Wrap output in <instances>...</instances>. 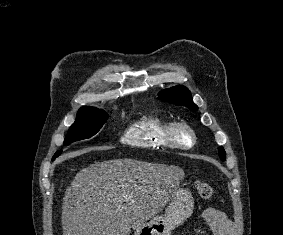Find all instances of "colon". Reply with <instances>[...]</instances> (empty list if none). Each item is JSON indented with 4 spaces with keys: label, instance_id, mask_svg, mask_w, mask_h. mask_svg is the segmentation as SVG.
<instances>
[{
    "label": "colon",
    "instance_id": "colon-1",
    "mask_svg": "<svg viewBox=\"0 0 283 235\" xmlns=\"http://www.w3.org/2000/svg\"><path fill=\"white\" fill-rule=\"evenodd\" d=\"M196 189H197L198 195L202 199H205V200L210 199L213 195L212 186L203 180H198L196 182Z\"/></svg>",
    "mask_w": 283,
    "mask_h": 235
}]
</instances>
